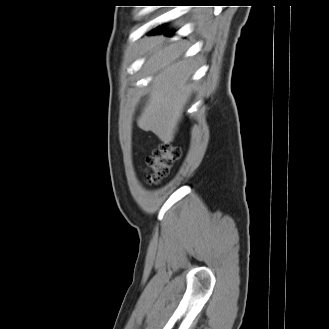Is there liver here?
Masks as SVG:
<instances>
[{
    "label": "liver",
    "instance_id": "6515ba94",
    "mask_svg": "<svg viewBox=\"0 0 329 329\" xmlns=\"http://www.w3.org/2000/svg\"><path fill=\"white\" fill-rule=\"evenodd\" d=\"M185 50L184 43H168L165 38L148 41L143 50L152 82L137 125L164 143L173 141L193 90V65L184 58Z\"/></svg>",
    "mask_w": 329,
    "mask_h": 329
}]
</instances>
